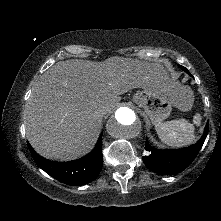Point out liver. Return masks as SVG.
Instances as JSON below:
<instances>
[{
    "instance_id": "6515ba94",
    "label": "liver",
    "mask_w": 221,
    "mask_h": 221,
    "mask_svg": "<svg viewBox=\"0 0 221 221\" xmlns=\"http://www.w3.org/2000/svg\"><path fill=\"white\" fill-rule=\"evenodd\" d=\"M167 81V73L157 63L117 56L102 62L59 61L32 89L25 109L27 139L44 158H78L96 140L103 117L99 109L111 112L120 95L134 88L165 93Z\"/></svg>"
}]
</instances>
